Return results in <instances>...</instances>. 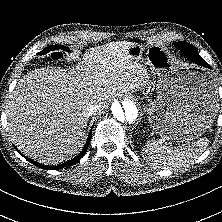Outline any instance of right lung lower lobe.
<instances>
[{"label":"right lung lower lobe","instance_id":"obj_1","mask_svg":"<svg viewBox=\"0 0 222 222\" xmlns=\"http://www.w3.org/2000/svg\"><path fill=\"white\" fill-rule=\"evenodd\" d=\"M91 137H92V132H90L89 133V136H88V139H87V141H86V144H85V146H84V148H83V150L75 157V158H73L72 160H69V161H67V162H65V163H63V164H61V165H58V166H46V165H42V164H40V163H37L36 161H34V160H32V159H29V158H27V157H25L29 162H31L32 164H34V165H36V166H38V167H40V168H42V169H55V170H57V169H61V168H63V167H68V166H72V165H74L75 163H77L84 155H85V153H86V151H87V149H88V147H89V143H90V141H91ZM17 150V149H16ZM18 151V150H17ZM19 152V151H18ZM21 154V153H20Z\"/></svg>","mask_w":222,"mask_h":222}]
</instances>
